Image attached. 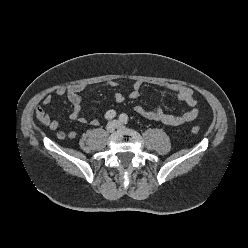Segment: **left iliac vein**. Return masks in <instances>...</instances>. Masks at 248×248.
Here are the masks:
<instances>
[{
  "mask_svg": "<svg viewBox=\"0 0 248 248\" xmlns=\"http://www.w3.org/2000/svg\"><path fill=\"white\" fill-rule=\"evenodd\" d=\"M114 122L116 123L118 129L124 128V125L121 122L119 121H114Z\"/></svg>",
  "mask_w": 248,
  "mask_h": 248,
  "instance_id": "4c4485c4",
  "label": "left iliac vein"
}]
</instances>
